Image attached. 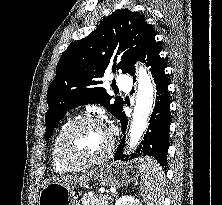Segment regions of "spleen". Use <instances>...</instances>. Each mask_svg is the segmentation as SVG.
Segmentation results:
<instances>
[{"mask_svg": "<svg viewBox=\"0 0 222 205\" xmlns=\"http://www.w3.org/2000/svg\"><path fill=\"white\" fill-rule=\"evenodd\" d=\"M138 166L142 180L140 190L147 205H161L165 182L162 167L149 156L140 158Z\"/></svg>", "mask_w": 222, "mask_h": 205, "instance_id": "3e777b00", "label": "spleen"}]
</instances>
